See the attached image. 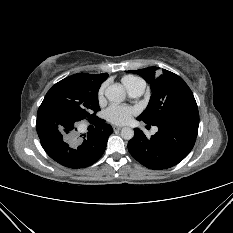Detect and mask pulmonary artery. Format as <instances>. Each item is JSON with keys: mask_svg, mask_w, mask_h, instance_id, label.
Returning <instances> with one entry per match:
<instances>
[{"mask_svg": "<svg viewBox=\"0 0 233 233\" xmlns=\"http://www.w3.org/2000/svg\"><path fill=\"white\" fill-rule=\"evenodd\" d=\"M144 89H145L144 86H137V87L129 90L128 93L131 97L137 98L143 94ZM156 131H157V128H154L153 132H156Z\"/></svg>", "mask_w": 233, "mask_h": 233, "instance_id": "1", "label": "pulmonary artery"}]
</instances>
